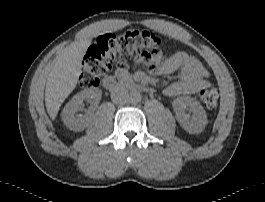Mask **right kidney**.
<instances>
[{
    "label": "right kidney",
    "mask_w": 265,
    "mask_h": 202,
    "mask_svg": "<svg viewBox=\"0 0 265 202\" xmlns=\"http://www.w3.org/2000/svg\"><path fill=\"white\" fill-rule=\"evenodd\" d=\"M101 96L102 91L98 88H88L77 93L62 111V120L66 127L73 131L84 130L88 124V115L77 114V112L82 110L85 99H92L95 103H98Z\"/></svg>",
    "instance_id": "obj_1"
}]
</instances>
